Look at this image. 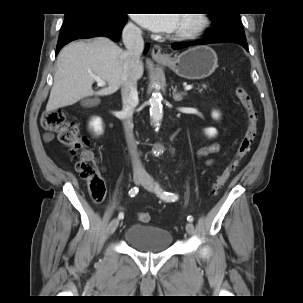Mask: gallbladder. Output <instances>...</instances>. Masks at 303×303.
Listing matches in <instances>:
<instances>
[{
    "label": "gallbladder",
    "mask_w": 303,
    "mask_h": 303,
    "mask_svg": "<svg viewBox=\"0 0 303 303\" xmlns=\"http://www.w3.org/2000/svg\"><path fill=\"white\" fill-rule=\"evenodd\" d=\"M87 102H88V99H84V100H82L81 104L85 106V105H87Z\"/></svg>",
    "instance_id": "bac80fb5"
}]
</instances>
